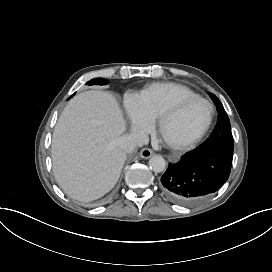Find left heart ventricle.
I'll use <instances>...</instances> for the list:
<instances>
[{
  "label": "left heart ventricle",
  "mask_w": 272,
  "mask_h": 272,
  "mask_svg": "<svg viewBox=\"0 0 272 272\" xmlns=\"http://www.w3.org/2000/svg\"><path fill=\"white\" fill-rule=\"evenodd\" d=\"M206 108L202 103L194 102L185 110L168 120L169 127L174 134L183 136L197 130L205 121Z\"/></svg>",
  "instance_id": "left-heart-ventricle-1"
}]
</instances>
